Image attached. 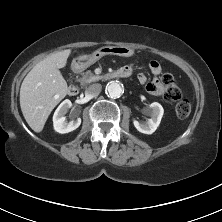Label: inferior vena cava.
Returning <instances> with one entry per match:
<instances>
[{
	"mask_svg": "<svg viewBox=\"0 0 222 222\" xmlns=\"http://www.w3.org/2000/svg\"><path fill=\"white\" fill-rule=\"evenodd\" d=\"M102 86L99 83L92 84L85 90V94L90 97H97L101 92Z\"/></svg>",
	"mask_w": 222,
	"mask_h": 222,
	"instance_id": "obj_1",
	"label": "inferior vena cava"
}]
</instances>
